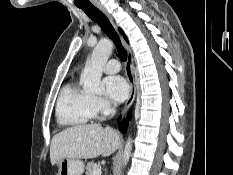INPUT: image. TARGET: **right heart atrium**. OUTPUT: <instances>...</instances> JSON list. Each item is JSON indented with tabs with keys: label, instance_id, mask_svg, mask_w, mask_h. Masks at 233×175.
Returning a JSON list of instances; mask_svg holds the SVG:
<instances>
[{
	"label": "right heart atrium",
	"instance_id": "1",
	"mask_svg": "<svg viewBox=\"0 0 233 175\" xmlns=\"http://www.w3.org/2000/svg\"><path fill=\"white\" fill-rule=\"evenodd\" d=\"M96 113L106 114L111 111V103L102 96H94L92 98Z\"/></svg>",
	"mask_w": 233,
	"mask_h": 175
}]
</instances>
